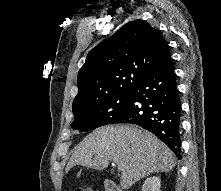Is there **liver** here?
Here are the masks:
<instances>
[{"label":"liver","mask_w":221,"mask_h":191,"mask_svg":"<svg viewBox=\"0 0 221 191\" xmlns=\"http://www.w3.org/2000/svg\"><path fill=\"white\" fill-rule=\"evenodd\" d=\"M113 161L121 170V187L154 172L175 166L172 151L150 132L134 125L103 126L86 136L75 148L67 169L74 165L102 170Z\"/></svg>","instance_id":"obj_1"}]
</instances>
